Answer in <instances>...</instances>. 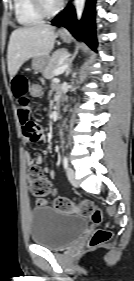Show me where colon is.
<instances>
[{
  "label": "colon",
  "instance_id": "colon-1",
  "mask_svg": "<svg viewBox=\"0 0 134 281\" xmlns=\"http://www.w3.org/2000/svg\"><path fill=\"white\" fill-rule=\"evenodd\" d=\"M29 94L32 98H39L43 95V86L39 82H32L29 87ZM27 181L29 189L33 195L42 198L52 192V185L47 180L39 166H31L28 172ZM38 205H46L43 199L38 200ZM53 207L62 212L79 213L85 217L99 223L102 220V212L89 200H83L78 204L73 203L68 198L58 197L52 203ZM112 233L106 229H98L93 234L90 245L97 246L110 240Z\"/></svg>",
  "mask_w": 134,
  "mask_h": 281
}]
</instances>
